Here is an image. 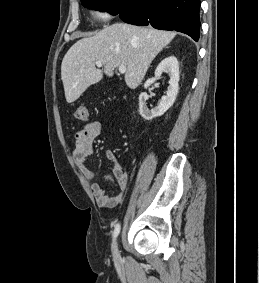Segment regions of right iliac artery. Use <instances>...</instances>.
<instances>
[{
    "label": "right iliac artery",
    "mask_w": 259,
    "mask_h": 283,
    "mask_svg": "<svg viewBox=\"0 0 259 283\" xmlns=\"http://www.w3.org/2000/svg\"><path fill=\"white\" fill-rule=\"evenodd\" d=\"M119 232H120V224L117 223V224L115 225L113 237L116 238V237L118 236Z\"/></svg>",
    "instance_id": "right-iliac-artery-1"
}]
</instances>
